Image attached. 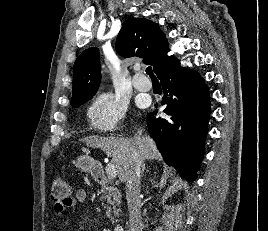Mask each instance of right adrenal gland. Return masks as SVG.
<instances>
[{"label":"right adrenal gland","instance_id":"2a0ac1e0","mask_svg":"<svg viewBox=\"0 0 268 231\" xmlns=\"http://www.w3.org/2000/svg\"><path fill=\"white\" fill-rule=\"evenodd\" d=\"M144 170H145V164L143 165V168H142V174H143Z\"/></svg>","mask_w":268,"mask_h":231}]
</instances>
